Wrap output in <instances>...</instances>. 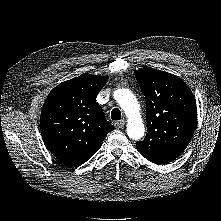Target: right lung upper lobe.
Returning <instances> with one entry per match:
<instances>
[{
    "mask_svg": "<svg viewBox=\"0 0 221 221\" xmlns=\"http://www.w3.org/2000/svg\"><path fill=\"white\" fill-rule=\"evenodd\" d=\"M108 78L84 74L65 81L50 92L44 103L40 119L43 140L66 165L85 163L114 130L96 102Z\"/></svg>",
    "mask_w": 221,
    "mask_h": 221,
    "instance_id": "right-lung-upper-lobe-1",
    "label": "right lung upper lobe"
}]
</instances>
